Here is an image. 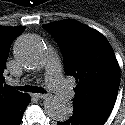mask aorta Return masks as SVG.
<instances>
[{"mask_svg":"<svg viewBox=\"0 0 125 125\" xmlns=\"http://www.w3.org/2000/svg\"><path fill=\"white\" fill-rule=\"evenodd\" d=\"M45 43L35 35H24L17 39L14 53L17 60L25 67L39 69L45 57ZM46 114L53 120H68L72 113L69 103L62 97L49 95L44 100Z\"/></svg>","mask_w":125,"mask_h":125,"instance_id":"obj_1","label":"aorta"}]
</instances>
